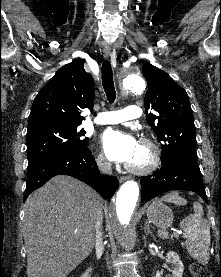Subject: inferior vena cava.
Segmentation results:
<instances>
[{
  "mask_svg": "<svg viewBox=\"0 0 221 277\" xmlns=\"http://www.w3.org/2000/svg\"><path fill=\"white\" fill-rule=\"evenodd\" d=\"M99 169L102 173L111 175L112 174V168L111 164L109 162H99L98 164ZM103 213L102 210H100L96 217V224H95V243H96V249H102L103 248ZM108 268L109 266V258H106Z\"/></svg>",
  "mask_w": 221,
  "mask_h": 277,
  "instance_id": "inferior-vena-cava-1",
  "label": "inferior vena cava"
}]
</instances>
